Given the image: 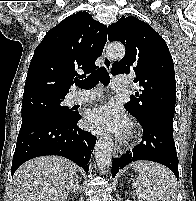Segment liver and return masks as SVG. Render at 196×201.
Masks as SVG:
<instances>
[{"label": "liver", "mask_w": 196, "mask_h": 201, "mask_svg": "<svg viewBox=\"0 0 196 201\" xmlns=\"http://www.w3.org/2000/svg\"><path fill=\"white\" fill-rule=\"evenodd\" d=\"M77 166L59 156H40L13 176V201H65L75 184Z\"/></svg>", "instance_id": "liver-1"}]
</instances>
